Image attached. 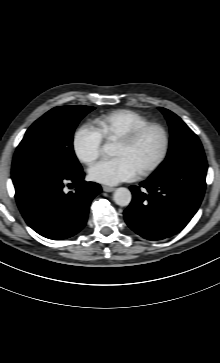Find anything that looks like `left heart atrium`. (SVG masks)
Here are the masks:
<instances>
[{
	"label": "left heart atrium",
	"instance_id": "obj_1",
	"mask_svg": "<svg viewBox=\"0 0 220 363\" xmlns=\"http://www.w3.org/2000/svg\"><path fill=\"white\" fill-rule=\"evenodd\" d=\"M138 172L125 157L117 156L95 164L89 170L92 180L104 184H117L134 179Z\"/></svg>",
	"mask_w": 220,
	"mask_h": 363
}]
</instances>
